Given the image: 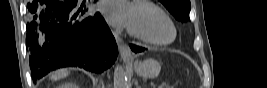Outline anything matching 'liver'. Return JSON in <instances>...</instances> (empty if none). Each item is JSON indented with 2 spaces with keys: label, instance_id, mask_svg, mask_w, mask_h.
<instances>
[{
  "label": "liver",
  "instance_id": "1",
  "mask_svg": "<svg viewBox=\"0 0 267 88\" xmlns=\"http://www.w3.org/2000/svg\"><path fill=\"white\" fill-rule=\"evenodd\" d=\"M68 75V71L65 69L59 70L57 72H55L52 76L51 79L52 80H58V79H62L64 77H66Z\"/></svg>",
  "mask_w": 267,
  "mask_h": 88
}]
</instances>
